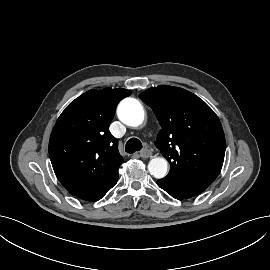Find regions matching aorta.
<instances>
[{"mask_svg": "<svg viewBox=\"0 0 270 270\" xmlns=\"http://www.w3.org/2000/svg\"><path fill=\"white\" fill-rule=\"evenodd\" d=\"M118 118L127 126L138 127L143 124L145 113L140 102L134 98H125L117 108ZM149 173L161 179L167 175L168 163L165 158L156 157L148 164Z\"/></svg>", "mask_w": 270, "mask_h": 270, "instance_id": "762f6f07", "label": "aorta"}]
</instances>
